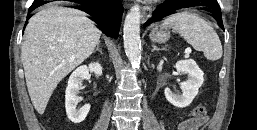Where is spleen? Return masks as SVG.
<instances>
[{
    "label": "spleen",
    "instance_id": "spleen-1",
    "mask_svg": "<svg viewBox=\"0 0 257 130\" xmlns=\"http://www.w3.org/2000/svg\"><path fill=\"white\" fill-rule=\"evenodd\" d=\"M163 27H171L173 32L179 33L196 50L202 51L210 61L219 60L223 50L219 36L211 24L190 11L172 14L162 22Z\"/></svg>",
    "mask_w": 257,
    "mask_h": 130
}]
</instances>
